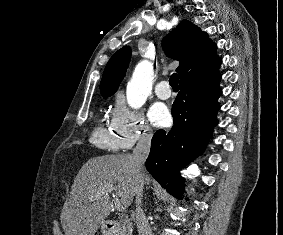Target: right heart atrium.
<instances>
[{"label": "right heart atrium", "mask_w": 283, "mask_h": 235, "mask_svg": "<svg viewBox=\"0 0 283 235\" xmlns=\"http://www.w3.org/2000/svg\"><path fill=\"white\" fill-rule=\"evenodd\" d=\"M111 126L122 150H128L138 143H148L153 137V130L142 113L129 108L121 98L113 110Z\"/></svg>", "instance_id": "1"}]
</instances>
